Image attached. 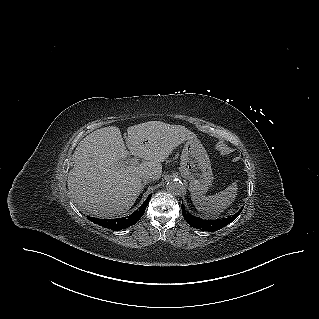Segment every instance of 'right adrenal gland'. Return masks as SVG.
Wrapping results in <instances>:
<instances>
[{"instance_id":"2a0ac1e0","label":"right adrenal gland","mask_w":319,"mask_h":319,"mask_svg":"<svg viewBox=\"0 0 319 319\" xmlns=\"http://www.w3.org/2000/svg\"><path fill=\"white\" fill-rule=\"evenodd\" d=\"M147 184V182L145 181V182H143V184H142V188H141V193L143 192V189H144V187H145V185Z\"/></svg>"}]
</instances>
